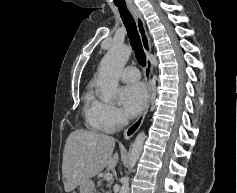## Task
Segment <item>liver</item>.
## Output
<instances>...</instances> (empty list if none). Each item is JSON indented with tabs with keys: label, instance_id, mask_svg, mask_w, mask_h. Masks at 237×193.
I'll list each match as a JSON object with an SVG mask.
<instances>
[{
	"label": "liver",
	"instance_id": "obj_1",
	"mask_svg": "<svg viewBox=\"0 0 237 193\" xmlns=\"http://www.w3.org/2000/svg\"><path fill=\"white\" fill-rule=\"evenodd\" d=\"M114 147L115 139L106 134L82 129L70 133L62 162L65 191H73L104 168L113 170L119 160Z\"/></svg>",
	"mask_w": 237,
	"mask_h": 193
}]
</instances>
